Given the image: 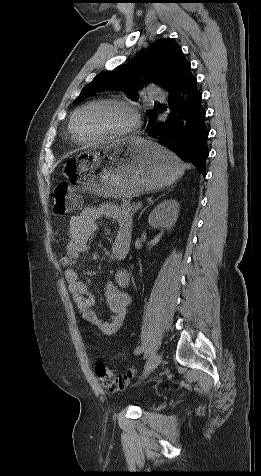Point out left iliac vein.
<instances>
[{
    "instance_id": "left-iliac-vein-1",
    "label": "left iliac vein",
    "mask_w": 261,
    "mask_h": 476,
    "mask_svg": "<svg viewBox=\"0 0 261 476\" xmlns=\"http://www.w3.org/2000/svg\"><path fill=\"white\" fill-rule=\"evenodd\" d=\"M162 362V355L161 354H154L152 355L149 360L147 361L144 371L142 374V378L147 377L154 369L158 367V365Z\"/></svg>"
}]
</instances>
